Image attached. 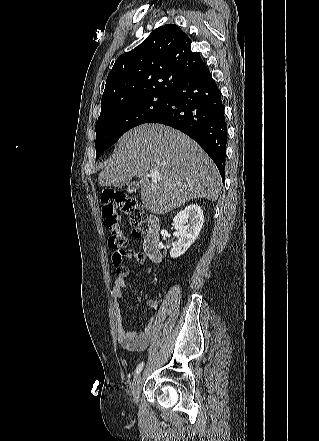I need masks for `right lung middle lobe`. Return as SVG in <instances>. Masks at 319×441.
I'll return each instance as SVG.
<instances>
[{"instance_id": "1", "label": "right lung middle lobe", "mask_w": 319, "mask_h": 441, "mask_svg": "<svg viewBox=\"0 0 319 441\" xmlns=\"http://www.w3.org/2000/svg\"><path fill=\"white\" fill-rule=\"evenodd\" d=\"M168 100V96H147L102 110L95 126L96 159L126 131L149 122L159 114L167 106Z\"/></svg>"}]
</instances>
